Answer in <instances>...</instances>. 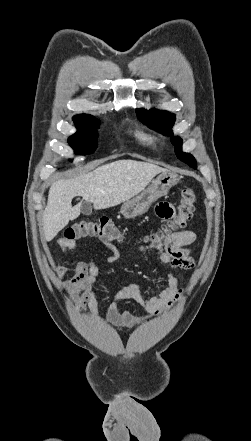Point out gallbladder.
<instances>
[{"label":"gallbladder","mask_w":251,"mask_h":441,"mask_svg":"<svg viewBox=\"0 0 251 441\" xmlns=\"http://www.w3.org/2000/svg\"><path fill=\"white\" fill-rule=\"evenodd\" d=\"M92 205L90 202L84 201L80 203V212L84 215H90L92 213Z\"/></svg>","instance_id":"1"}]
</instances>
